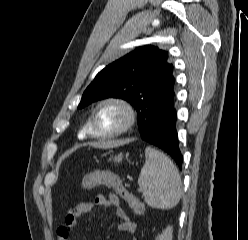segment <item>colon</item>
<instances>
[{
    "mask_svg": "<svg viewBox=\"0 0 248 240\" xmlns=\"http://www.w3.org/2000/svg\"><path fill=\"white\" fill-rule=\"evenodd\" d=\"M105 185L112 188L116 194H118L129 207L136 214L144 213V206L140 200L131 192H129L120 179L111 172L108 171H95L86 175L81 183V186L84 190L92 189L93 187Z\"/></svg>",
    "mask_w": 248,
    "mask_h": 240,
    "instance_id": "5ec220e1",
    "label": "colon"
}]
</instances>
